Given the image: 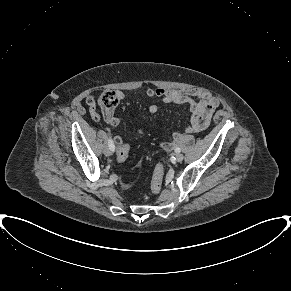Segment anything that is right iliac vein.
Listing matches in <instances>:
<instances>
[{
	"instance_id": "63e3f726",
	"label": "right iliac vein",
	"mask_w": 291,
	"mask_h": 291,
	"mask_svg": "<svg viewBox=\"0 0 291 291\" xmlns=\"http://www.w3.org/2000/svg\"><path fill=\"white\" fill-rule=\"evenodd\" d=\"M104 154H105L106 156H111V155H112V150H111L109 147H106V148L104 149Z\"/></svg>"
}]
</instances>
